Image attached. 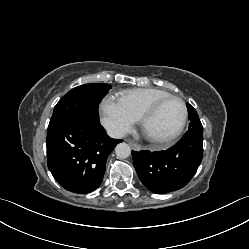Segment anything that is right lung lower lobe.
I'll return each instance as SVG.
<instances>
[{
	"instance_id": "98d812e1",
	"label": "right lung lower lobe",
	"mask_w": 249,
	"mask_h": 249,
	"mask_svg": "<svg viewBox=\"0 0 249 249\" xmlns=\"http://www.w3.org/2000/svg\"><path fill=\"white\" fill-rule=\"evenodd\" d=\"M122 140L110 138L98 120L79 119L47 133V165L66 190L86 194L103 179L106 160Z\"/></svg>"
}]
</instances>
